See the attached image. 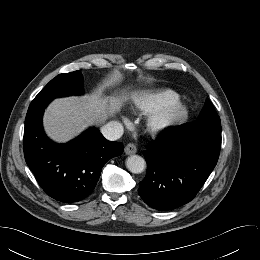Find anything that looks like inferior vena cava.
<instances>
[{"label": "inferior vena cava", "mask_w": 260, "mask_h": 260, "mask_svg": "<svg viewBox=\"0 0 260 260\" xmlns=\"http://www.w3.org/2000/svg\"><path fill=\"white\" fill-rule=\"evenodd\" d=\"M124 132L123 125L118 121H110L101 128L103 136L110 141L119 139Z\"/></svg>", "instance_id": "1"}]
</instances>
